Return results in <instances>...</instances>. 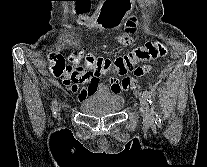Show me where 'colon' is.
I'll use <instances>...</instances> for the list:
<instances>
[{
    "mask_svg": "<svg viewBox=\"0 0 207 167\" xmlns=\"http://www.w3.org/2000/svg\"><path fill=\"white\" fill-rule=\"evenodd\" d=\"M165 53V47L160 42H150L144 46L138 47L126 54L125 56L119 57L115 60V67L123 73L130 70L134 64L138 61H146L156 58ZM79 56H84L86 66L88 67L91 74L94 76H100L105 74L110 68V61L103 58L97 57L92 53H79ZM149 70L148 67H139L135 70V75L141 77L145 72ZM62 72V66L60 62L54 68L55 75H59Z\"/></svg>",
    "mask_w": 207,
    "mask_h": 167,
    "instance_id": "obj_1",
    "label": "colon"
}]
</instances>
